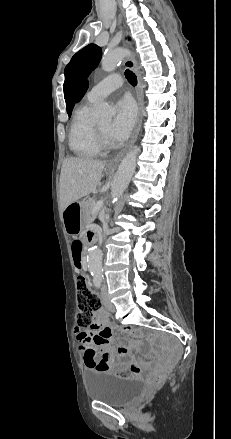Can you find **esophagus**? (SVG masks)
Returning <instances> with one entry per match:
<instances>
[{
	"mask_svg": "<svg viewBox=\"0 0 231 439\" xmlns=\"http://www.w3.org/2000/svg\"><path fill=\"white\" fill-rule=\"evenodd\" d=\"M127 45L130 48H132V46L128 40H127ZM124 65L126 68L134 71L137 75L138 83H137V87H136V99H137V103H138V115H137V120H136L134 132H133L132 137H131L129 143L127 144V146L123 150H121L116 156H114L113 158H111L110 160L107 161L106 166L109 169H116L120 160L122 159V157L132 147V145L134 144V142L137 138V135L139 133L140 123H141V110H142V99H143L141 76H140L139 71L136 68V63H135V60L133 57H127L124 61Z\"/></svg>",
	"mask_w": 231,
	"mask_h": 439,
	"instance_id": "obj_1",
	"label": "esophagus"
}]
</instances>
